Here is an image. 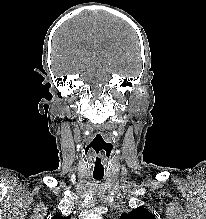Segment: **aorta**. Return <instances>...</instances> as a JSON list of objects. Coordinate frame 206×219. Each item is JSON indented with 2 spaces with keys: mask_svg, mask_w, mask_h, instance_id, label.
Here are the masks:
<instances>
[{
  "mask_svg": "<svg viewBox=\"0 0 206 219\" xmlns=\"http://www.w3.org/2000/svg\"><path fill=\"white\" fill-rule=\"evenodd\" d=\"M87 219H101V217L99 215H92Z\"/></svg>",
  "mask_w": 206,
  "mask_h": 219,
  "instance_id": "762f6f07",
  "label": "aorta"
}]
</instances>
